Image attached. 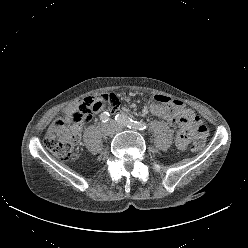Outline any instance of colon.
<instances>
[{
	"mask_svg": "<svg viewBox=\"0 0 248 248\" xmlns=\"http://www.w3.org/2000/svg\"><path fill=\"white\" fill-rule=\"evenodd\" d=\"M100 107L101 101L94 96H89L69 108L65 115L55 119L48 129L44 139L46 148L61 161L70 159L79 140L80 127L87 123ZM194 130L196 136L192 149L198 151L205 144L207 131L206 127L200 123L195 126Z\"/></svg>",
	"mask_w": 248,
	"mask_h": 248,
	"instance_id": "1",
	"label": "colon"
}]
</instances>
